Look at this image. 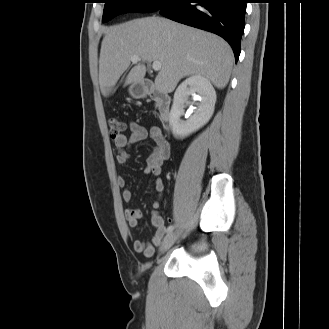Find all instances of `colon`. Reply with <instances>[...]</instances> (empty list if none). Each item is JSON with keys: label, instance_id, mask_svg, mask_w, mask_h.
Segmentation results:
<instances>
[{"label": "colon", "instance_id": "colon-1", "mask_svg": "<svg viewBox=\"0 0 329 329\" xmlns=\"http://www.w3.org/2000/svg\"><path fill=\"white\" fill-rule=\"evenodd\" d=\"M108 126L112 138L122 136L126 130L125 123L116 117H111L108 120Z\"/></svg>", "mask_w": 329, "mask_h": 329}]
</instances>
